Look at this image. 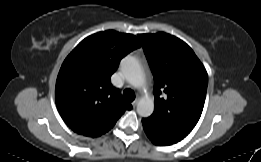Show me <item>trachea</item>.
<instances>
[{
  "instance_id": "1",
  "label": "trachea",
  "mask_w": 261,
  "mask_h": 162,
  "mask_svg": "<svg viewBox=\"0 0 261 162\" xmlns=\"http://www.w3.org/2000/svg\"><path fill=\"white\" fill-rule=\"evenodd\" d=\"M123 98L127 102H132L135 99V93L130 89H126L123 92Z\"/></svg>"
}]
</instances>
